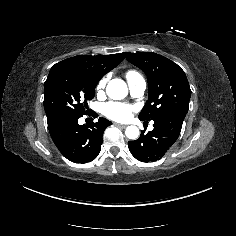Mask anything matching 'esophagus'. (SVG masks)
Returning a JSON list of instances; mask_svg holds the SVG:
<instances>
[{
    "instance_id": "obj_1",
    "label": "esophagus",
    "mask_w": 236,
    "mask_h": 236,
    "mask_svg": "<svg viewBox=\"0 0 236 236\" xmlns=\"http://www.w3.org/2000/svg\"><path fill=\"white\" fill-rule=\"evenodd\" d=\"M115 126H117V127H122V128H125V127H127V125L126 124H120V123H113Z\"/></svg>"
}]
</instances>
